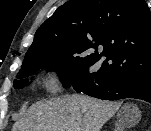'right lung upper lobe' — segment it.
I'll return each mask as SVG.
<instances>
[{"instance_id": "cb5924a9", "label": "right lung upper lobe", "mask_w": 151, "mask_h": 131, "mask_svg": "<svg viewBox=\"0 0 151 131\" xmlns=\"http://www.w3.org/2000/svg\"><path fill=\"white\" fill-rule=\"evenodd\" d=\"M51 45L77 47L95 63L107 57L99 69L107 78L150 76L151 12L144 0H70L38 28L30 47Z\"/></svg>"}]
</instances>
